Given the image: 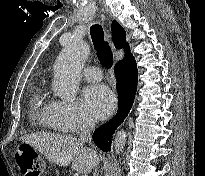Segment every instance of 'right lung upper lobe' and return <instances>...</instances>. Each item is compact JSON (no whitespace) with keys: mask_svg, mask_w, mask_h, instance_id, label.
Wrapping results in <instances>:
<instances>
[{"mask_svg":"<svg viewBox=\"0 0 205 176\" xmlns=\"http://www.w3.org/2000/svg\"><path fill=\"white\" fill-rule=\"evenodd\" d=\"M112 37H113V42L118 49L121 48L125 49L126 54L124 59L130 58L132 54H130L129 45L125 40L126 32L122 28V26L115 20L112 22Z\"/></svg>","mask_w":205,"mask_h":176,"instance_id":"cb5924a9","label":"right lung upper lobe"}]
</instances>
